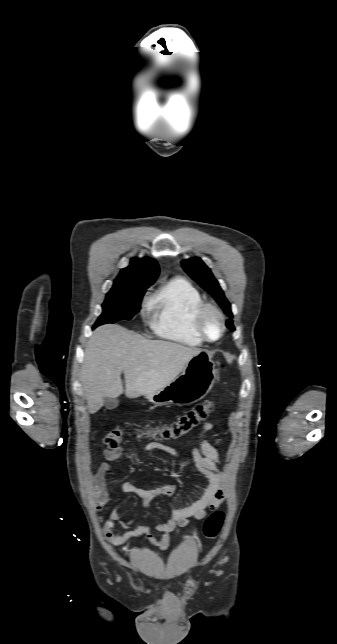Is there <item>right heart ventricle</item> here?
Masks as SVG:
<instances>
[{
    "label": "right heart ventricle",
    "mask_w": 337,
    "mask_h": 644,
    "mask_svg": "<svg viewBox=\"0 0 337 644\" xmlns=\"http://www.w3.org/2000/svg\"><path fill=\"white\" fill-rule=\"evenodd\" d=\"M203 302L198 288L183 277L164 283L150 301L151 327L160 337L188 346L203 340L193 326L195 312Z\"/></svg>",
    "instance_id": "1"
}]
</instances>
